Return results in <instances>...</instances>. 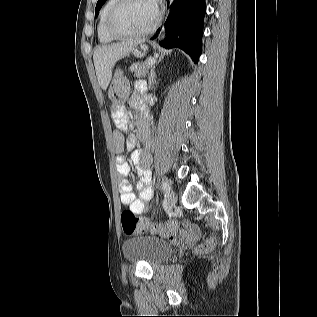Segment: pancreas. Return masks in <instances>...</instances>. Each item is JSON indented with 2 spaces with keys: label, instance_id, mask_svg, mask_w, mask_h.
I'll list each match as a JSON object with an SVG mask.
<instances>
[{
  "label": "pancreas",
  "instance_id": "pancreas-1",
  "mask_svg": "<svg viewBox=\"0 0 317 317\" xmlns=\"http://www.w3.org/2000/svg\"><path fill=\"white\" fill-rule=\"evenodd\" d=\"M152 69L149 61H144L142 64L140 61H135L134 66L131 67V71H134V77L144 78L149 73V70Z\"/></svg>",
  "mask_w": 317,
  "mask_h": 317
}]
</instances>
